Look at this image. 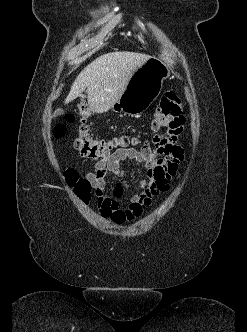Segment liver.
I'll list each match as a JSON object with an SVG mask.
<instances>
[{
  "mask_svg": "<svg viewBox=\"0 0 247 332\" xmlns=\"http://www.w3.org/2000/svg\"><path fill=\"white\" fill-rule=\"evenodd\" d=\"M149 58V55L128 51L101 55L76 77L65 102L84 98L82 92L87 88L90 110L94 113L107 112L125 91L134 71Z\"/></svg>",
  "mask_w": 247,
  "mask_h": 332,
  "instance_id": "obj_1",
  "label": "liver"
}]
</instances>
